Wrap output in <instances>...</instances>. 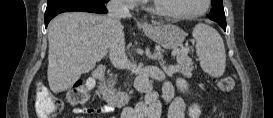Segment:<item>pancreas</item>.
Returning a JSON list of instances; mask_svg holds the SVG:
<instances>
[{
  "mask_svg": "<svg viewBox=\"0 0 273 118\" xmlns=\"http://www.w3.org/2000/svg\"><path fill=\"white\" fill-rule=\"evenodd\" d=\"M187 49V51H185ZM189 48H183L180 49L178 54H177V64L174 66H169L166 67L164 65V62L161 64L162 68L167 72L168 74H173V73H180L186 77L191 76V72L193 70V62L191 58L188 56ZM157 58L159 60H162V55L157 54ZM117 76L111 75L110 78L107 80V85L108 88L111 92H115L116 89H114V86L116 84Z\"/></svg>",
  "mask_w": 273,
  "mask_h": 118,
  "instance_id": "obj_1",
  "label": "pancreas"
}]
</instances>
